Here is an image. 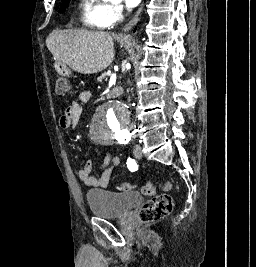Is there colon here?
I'll return each mask as SVG.
<instances>
[{
	"label": "colon",
	"mask_w": 256,
	"mask_h": 267,
	"mask_svg": "<svg viewBox=\"0 0 256 267\" xmlns=\"http://www.w3.org/2000/svg\"><path fill=\"white\" fill-rule=\"evenodd\" d=\"M55 89L58 95H65L70 91L69 77H59L57 75L55 79ZM162 188L165 190L171 189L170 183H164ZM135 189L133 183L123 182L119 185V190L122 192H130ZM155 186L151 182H146L142 186V192L149 196H161L151 197V199L144 204L139 211V219L142 224H149L150 222L158 221L161 218L168 216L174 207L172 199L167 196L169 194L156 195Z\"/></svg>",
	"instance_id": "5ec220e1"
}]
</instances>
